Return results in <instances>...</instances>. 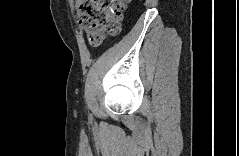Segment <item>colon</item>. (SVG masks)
I'll return each instance as SVG.
<instances>
[{
  "label": "colon",
  "mask_w": 239,
  "mask_h": 156,
  "mask_svg": "<svg viewBox=\"0 0 239 156\" xmlns=\"http://www.w3.org/2000/svg\"><path fill=\"white\" fill-rule=\"evenodd\" d=\"M126 3L123 0H90L79 6L80 25L89 43L99 46L121 31V21Z\"/></svg>",
  "instance_id": "1"
}]
</instances>
